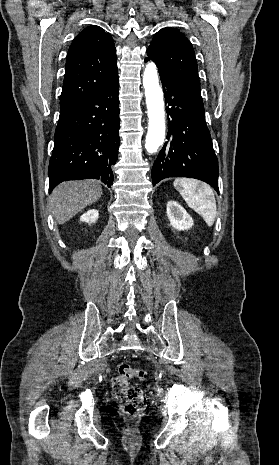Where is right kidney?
<instances>
[{"mask_svg":"<svg viewBox=\"0 0 279 465\" xmlns=\"http://www.w3.org/2000/svg\"><path fill=\"white\" fill-rule=\"evenodd\" d=\"M99 217V212L98 210H95V209H91V210H88L86 213H84L81 217H80V221L81 222H86L88 224H91V223H95L96 220L98 219Z\"/></svg>","mask_w":279,"mask_h":465,"instance_id":"1","label":"right kidney"}]
</instances>
